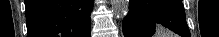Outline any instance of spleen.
I'll use <instances>...</instances> for the list:
<instances>
[{
    "instance_id": "obj_1",
    "label": "spleen",
    "mask_w": 219,
    "mask_h": 37,
    "mask_svg": "<svg viewBox=\"0 0 219 37\" xmlns=\"http://www.w3.org/2000/svg\"><path fill=\"white\" fill-rule=\"evenodd\" d=\"M155 37H175L172 33L164 29L163 27H158Z\"/></svg>"
}]
</instances>
